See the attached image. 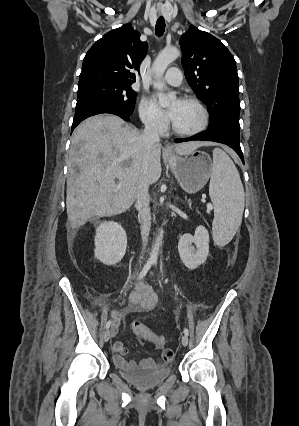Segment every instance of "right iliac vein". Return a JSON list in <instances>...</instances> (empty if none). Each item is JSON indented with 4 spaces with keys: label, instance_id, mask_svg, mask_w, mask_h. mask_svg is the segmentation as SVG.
<instances>
[{
    "label": "right iliac vein",
    "instance_id": "1",
    "mask_svg": "<svg viewBox=\"0 0 299 426\" xmlns=\"http://www.w3.org/2000/svg\"><path fill=\"white\" fill-rule=\"evenodd\" d=\"M112 337V332L111 330H106L104 333V341L107 342L110 338Z\"/></svg>",
    "mask_w": 299,
    "mask_h": 426
}]
</instances>
